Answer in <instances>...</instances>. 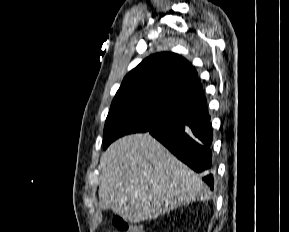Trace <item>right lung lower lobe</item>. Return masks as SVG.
Returning <instances> with one entry per match:
<instances>
[{"label":"right lung lower lobe","instance_id":"right-lung-lower-lobe-1","mask_svg":"<svg viewBox=\"0 0 289 232\" xmlns=\"http://www.w3.org/2000/svg\"><path fill=\"white\" fill-rule=\"evenodd\" d=\"M213 189L212 125L207 105L183 111L176 119L148 131Z\"/></svg>","mask_w":289,"mask_h":232}]
</instances>
